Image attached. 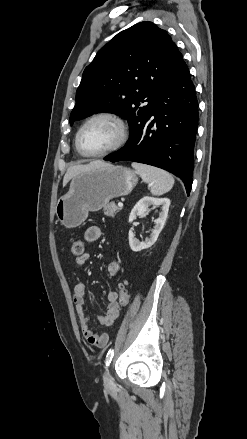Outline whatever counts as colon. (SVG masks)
<instances>
[{"instance_id": "1", "label": "colon", "mask_w": 247, "mask_h": 439, "mask_svg": "<svg viewBox=\"0 0 247 439\" xmlns=\"http://www.w3.org/2000/svg\"><path fill=\"white\" fill-rule=\"evenodd\" d=\"M84 253V243L80 239H76L72 242L71 245V254L74 257H80ZM129 290L128 285L126 283H122L119 285V298L118 305L119 308L125 307L129 301Z\"/></svg>"}]
</instances>
